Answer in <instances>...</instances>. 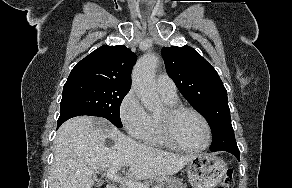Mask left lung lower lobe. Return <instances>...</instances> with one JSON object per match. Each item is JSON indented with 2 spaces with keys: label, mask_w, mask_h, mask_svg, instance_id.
I'll return each mask as SVG.
<instances>
[{
  "label": "left lung lower lobe",
  "mask_w": 292,
  "mask_h": 188,
  "mask_svg": "<svg viewBox=\"0 0 292 188\" xmlns=\"http://www.w3.org/2000/svg\"><path fill=\"white\" fill-rule=\"evenodd\" d=\"M221 151H227V152L233 154L238 160H240V151H239L237 146L223 148Z\"/></svg>",
  "instance_id": "obj_1"
}]
</instances>
